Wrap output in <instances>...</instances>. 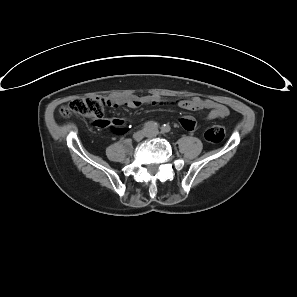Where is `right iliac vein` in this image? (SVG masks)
Wrapping results in <instances>:
<instances>
[{"label": "right iliac vein", "instance_id": "right-iliac-vein-1", "mask_svg": "<svg viewBox=\"0 0 297 297\" xmlns=\"http://www.w3.org/2000/svg\"><path fill=\"white\" fill-rule=\"evenodd\" d=\"M146 135H147V131L141 130L134 133L133 139L138 142V141H141Z\"/></svg>", "mask_w": 297, "mask_h": 297}]
</instances>
